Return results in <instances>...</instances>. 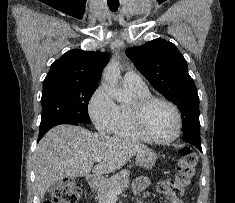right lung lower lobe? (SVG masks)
Wrapping results in <instances>:
<instances>
[{"label":"right lung lower lobe","mask_w":235,"mask_h":203,"mask_svg":"<svg viewBox=\"0 0 235 203\" xmlns=\"http://www.w3.org/2000/svg\"><path fill=\"white\" fill-rule=\"evenodd\" d=\"M59 124H73V125H78L79 123L77 122H59V123H54L52 125L43 127L39 129V137H38V141L44 136V134L51 129L52 127L59 125Z\"/></svg>","instance_id":"1"}]
</instances>
